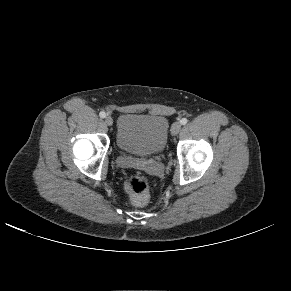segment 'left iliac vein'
Returning a JSON list of instances; mask_svg holds the SVG:
<instances>
[{
  "instance_id": "obj_1",
  "label": "left iliac vein",
  "mask_w": 291,
  "mask_h": 291,
  "mask_svg": "<svg viewBox=\"0 0 291 291\" xmlns=\"http://www.w3.org/2000/svg\"><path fill=\"white\" fill-rule=\"evenodd\" d=\"M180 130H181L180 122L173 123L172 128H171L172 135H177L180 132Z\"/></svg>"
}]
</instances>
